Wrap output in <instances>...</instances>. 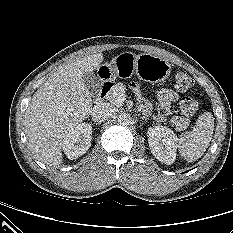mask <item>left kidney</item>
Segmentation results:
<instances>
[{"label":"left kidney","mask_w":233,"mask_h":233,"mask_svg":"<svg viewBox=\"0 0 233 233\" xmlns=\"http://www.w3.org/2000/svg\"><path fill=\"white\" fill-rule=\"evenodd\" d=\"M152 154L161 162L171 165L176 158L177 136L166 126H153L147 131Z\"/></svg>","instance_id":"left-kidney-1"}]
</instances>
